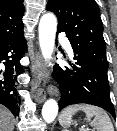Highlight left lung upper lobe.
I'll use <instances>...</instances> for the list:
<instances>
[{
    "label": "left lung upper lobe",
    "mask_w": 117,
    "mask_h": 131,
    "mask_svg": "<svg viewBox=\"0 0 117 131\" xmlns=\"http://www.w3.org/2000/svg\"><path fill=\"white\" fill-rule=\"evenodd\" d=\"M46 9L56 14L58 29L66 33L74 53L107 75L106 43L96 1L49 0Z\"/></svg>",
    "instance_id": "obj_1"
}]
</instances>
